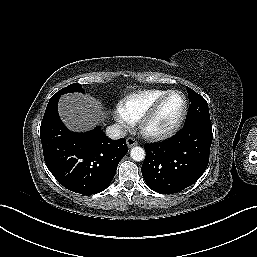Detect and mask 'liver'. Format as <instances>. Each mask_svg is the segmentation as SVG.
Listing matches in <instances>:
<instances>
[{"label":"liver","instance_id":"obj_1","mask_svg":"<svg viewBox=\"0 0 257 257\" xmlns=\"http://www.w3.org/2000/svg\"><path fill=\"white\" fill-rule=\"evenodd\" d=\"M59 115L72 131L84 132L104 120L100 102L81 93L65 94L59 100Z\"/></svg>","mask_w":257,"mask_h":257}]
</instances>
